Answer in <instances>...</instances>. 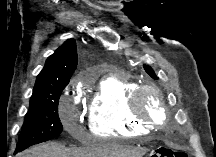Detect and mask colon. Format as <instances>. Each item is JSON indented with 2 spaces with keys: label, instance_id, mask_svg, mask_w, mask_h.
Here are the masks:
<instances>
[{
  "label": "colon",
  "instance_id": "1",
  "mask_svg": "<svg viewBox=\"0 0 216 157\" xmlns=\"http://www.w3.org/2000/svg\"><path fill=\"white\" fill-rule=\"evenodd\" d=\"M151 157H188V154L182 150H174L167 146L158 147Z\"/></svg>",
  "mask_w": 216,
  "mask_h": 157
}]
</instances>
